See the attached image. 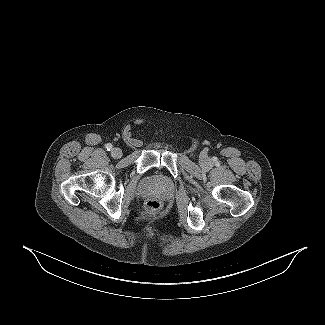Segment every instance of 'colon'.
<instances>
[{
    "instance_id": "1",
    "label": "colon",
    "mask_w": 325,
    "mask_h": 325,
    "mask_svg": "<svg viewBox=\"0 0 325 325\" xmlns=\"http://www.w3.org/2000/svg\"><path fill=\"white\" fill-rule=\"evenodd\" d=\"M145 208L150 213H157L161 209V203L155 198H150L146 201Z\"/></svg>"
}]
</instances>
